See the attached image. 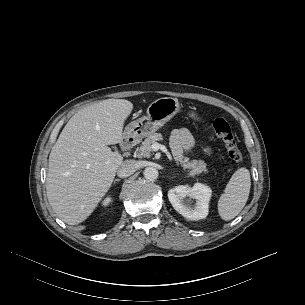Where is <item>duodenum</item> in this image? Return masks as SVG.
<instances>
[{"label":"duodenum","mask_w":305,"mask_h":305,"mask_svg":"<svg viewBox=\"0 0 305 305\" xmlns=\"http://www.w3.org/2000/svg\"><path fill=\"white\" fill-rule=\"evenodd\" d=\"M136 136L133 134L126 135L122 142L121 147L123 150H129L136 143Z\"/></svg>","instance_id":"duodenum-1"}]
</instances>
